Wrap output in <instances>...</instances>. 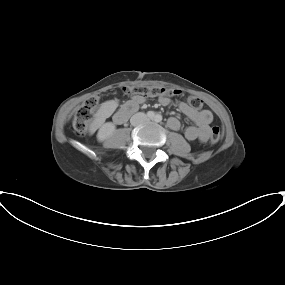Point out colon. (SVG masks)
<instances>
[{
    "instance_id": "colon-1",
    "label": "colon",
    "mask_w": 285,
    "mask_h": 285,
    "mask_svg": "<svg viewBox=\"0 0 285 285\" xmlns=\"http://www.w3.org/2000/svg\"><path fill=\"white\" fill-rule=\"evenodd\" d=\"M123 92L129 96L140 95L143 97L156 96H177L181 94V90L177 88H169L157 85H133L123 88ZM187 101L189 105L195 109L200 110L204 103L203 100L197 96H188ZM99 103V96L94 95L88 98L75 112L72 125L78 134H84L94 117V112ZM221 138V129L219 126H213L210 130V140L212 143H217Z\"/></svg>"
}]
</instances>
